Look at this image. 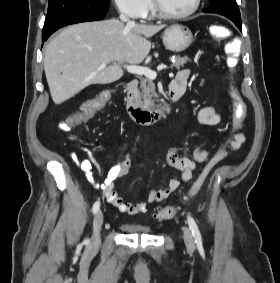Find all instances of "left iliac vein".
Listing matches in <instances>:
<instances>
[{
	"label": "left iliac vein",
	"mask_w": 280,
	"mask_h": 283,
	"mask_svg": "<svg viewBox=\"0 0 280 283\" xmlns=\"http://www.w3.org/2000/svg\"><path fill=\"white\" fill-rule=\"evenodd\" d=\"M183 238H184L185 244L188 247H190V248L194 247V240H193L192 234H191V232L188 228L184 229Z\"/></svg>",
	"instance_id": "left-iliac-vein-1"
}]
</instances>
